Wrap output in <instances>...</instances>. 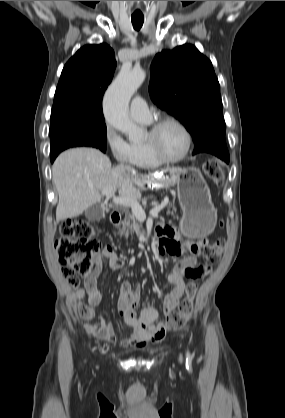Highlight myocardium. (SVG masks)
Here are the masks:
<instances>
[{"label":"myocardium","mask_w":285,"mask_h":418,"mask_svg":"<svg viewBox=\"0 0 285 418\" xmlns=\"http://www.w3.org/2000/svg\"><path fill=\"white\" fill-rule=\"evenodd\" d=\"M173 124L179 127L185 135L186 145L183 153L175 158L166 157L156 146L155 138L160 129L167 125ZM148 140L145 141V145L150 153V155L157 161L163 164H174L183 161L190 153L192 147V136L189 129L178 119L173 117H164L155 121L149 131Z\"/></svg>","instance_id":"1"}]
</instances>
